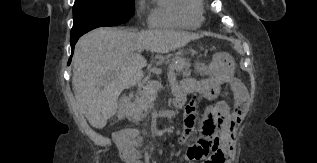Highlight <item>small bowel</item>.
<instances>
[{
  "mask_svg": "<svg viewBox=\"0 0 317 163\" xmlns=\"http://www.w3.org/2000/svg\"><path fill=\"white\" fill-rule=\"evenodd\" d=\"M220 82L215 78L201 81L188 79L180 85L174 86V105L184 109L185 134L181 141L193 140L184 153L183 160L189 163H228L230 154L228 149L233 145V132L240 125L248 110V100L236 104L230 112L224 103L222 114L215 131L208 132L199 126L197 112V97L213 100L217 97ZM120 146V155L125 163H140L135 156V130H126L116 138Z\"/></svg>",
  "mask_w": 317,
  "mask_h": 163,
  "instance_id": "obj_1",
  "label": "small bowel"
}]
</instances>
